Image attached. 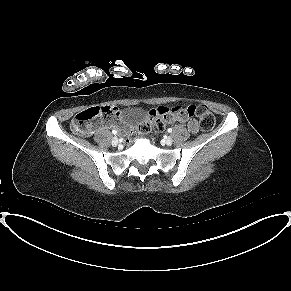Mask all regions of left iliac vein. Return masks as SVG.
Listing matches in <instances>:
<instances>
[{"label": "left iliac vein", "instance_id": "obj_1", "mask_svg": "<svg viewBox=\"0 0 291 291\" xmlns=\"http://www.w3.org/2000/svg\"><path fill=\"white\" fill-rule=\"evenodd\" d=\"M165 143H166L168 146H170V145H172V143H173V139L169 136V137H167V138L165 139Z\"/></svg>", "mask_w": 291, "mask_h": 291}]
</instances>
